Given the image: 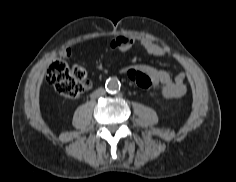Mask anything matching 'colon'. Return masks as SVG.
Wrapping results in <instances>:
<instances>
[{"label":"colon","mask_w":236,"mask_h":182,"mask_svg":"<svg viewBox=\"0 0 236 182\" xmlns=\"http://www.w3.org/2000/svg\"><path fill=\"white\" fill-rule=\"evenodd\" d=\"M126 74L131 83L138 88L148 89L152 86L150 76L138 68H130ZM85 78L86 72L82 67H69L62 60L51 62L46 71L47 81L65 98L80 95L85 89Z\"/></svg>","instance_id":"obj_1"}]
</instances>
